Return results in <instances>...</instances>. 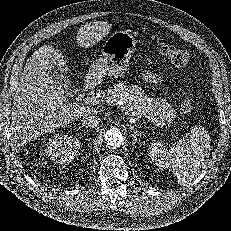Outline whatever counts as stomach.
Wrapping results in <instances>:
<instances>
[{
    "label": "stomach",
    "mask_w": 231,
    "mask_h": 231,
    "mask_svg": "<svg viewBox=\"0 0 231 231\" xmlns=\"http://www.w3.org/2000/svg\"><path fill=\"white\" fill-rule=\"evenodd\" d=\"M136 43V39L127 31L111 34L102 46L103 57L90 65L88 77L96 81L102 80L106 75L123 77L135 52Z\"/></svg>",
    "instance_id": "0dacf381"
}]
</instances>
